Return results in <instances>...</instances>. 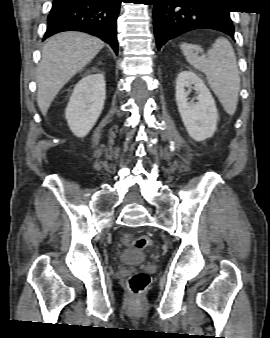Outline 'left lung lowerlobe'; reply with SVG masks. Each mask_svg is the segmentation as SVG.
<instances>
[{
    "mask_svg": "<svg viewBox=\"0 0 270 338\" xmlns=\"http://www.w3.org/2000/svg\"><path fill=\"white\" fill-rule=\"evenodd\" d=\"M158 50L170 39L195 29H215L234 39L229 10L220 0H152ZM180 5L179 7H177Z\"/></svg>",
    "mask_w": 270,
    "mask_h": 338,
    "instance_id": "1",
    "label": "left lung lower lobe"
}]
</instances>
